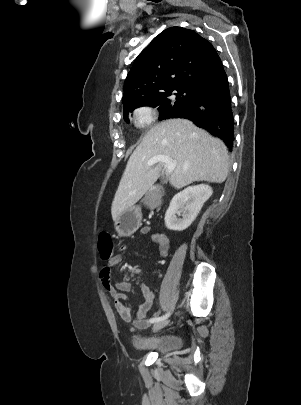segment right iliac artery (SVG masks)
Returning a JSON list of instances; mask_svg holds the SVG:
<instances>
[{
  "instance_id": "82829eb1",
  "label": "right iliac artery",
  "mask_w": 301,
  "mask_h": 405,
  "mask_svg": "<svg viewBox=\"0 0 301 405\" xmlns=\"http://www.w3.org/2000/svg\"><path fill=\"white\" fill-rule=\"evenodd\" d=\"M170 316V312H168L167 314L161 316V317H154L150 319V323H156L159 321H163L165 319H167Z\"/></svg>"
}]
</instances>
